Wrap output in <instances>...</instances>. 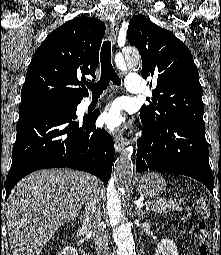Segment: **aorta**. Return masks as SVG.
<instances>
[{
	"label": "aorta",
	"mask_w": 221,
	"mask_h": 255,
	"mask_svg": "<svg viewBox=\"0 0 221 255\" xmlns=\"http://www.w3.org/2000/svg\"><path fill=\"white\" fill-rule=\"evenodd\" d=\"M115 62L119 68L140 66L139 54L132 48H127L116 56ZM133 148L128 147L117 159L116 170L107 186V207L113 238L118 247V255H135V242L131 226L122 208V196L126 192L133 174Z\"/></svg>",
	"instance_id": "762f6f07"
}]
</instances>
